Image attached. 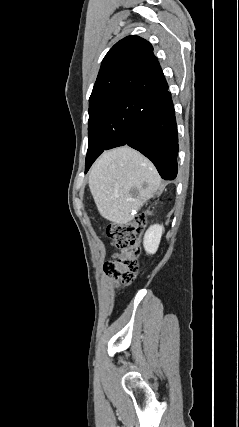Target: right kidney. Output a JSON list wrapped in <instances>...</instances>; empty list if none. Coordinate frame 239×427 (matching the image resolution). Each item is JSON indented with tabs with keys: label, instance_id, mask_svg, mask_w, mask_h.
Returning a JSON list of instances; mask_svg holds the SVG:
<instances>
[{
	"label": "right kidney",
	"instance_id": "right-kidney-1",
	"mask_svg": "<svg viewBox=\"0 0 239 427\" xmlns=\"http://www.w3.org/2000/svg\"><path fill=\"white\" fill-rule=\"evenodd\" d=\"M163 226L155 224L150 226L144 235L143 245L148 254H154L160 244Z\"/></svg>",
	"mask_w": 239,
	"mask_h": 427
}]
</instances>
